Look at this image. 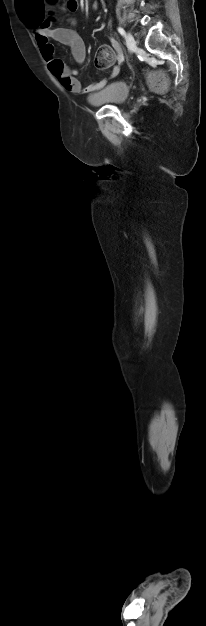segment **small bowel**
I'll return each mask as SVG.
<instances>
[{
    "instance_id": "obj_1",
    "label": "small bowel",
    "mask_w": 206,
    "mask_h": 626,
    "mask_svg": "<svg viewBox=\"0 0 206 626\" xmlns=\"http://www.w3.org/2000/svg\"><path fill=\"white\" fill-rule=\"evenodd\" d=\"M78 0H67L66 9L70 12H75L78 9ZM96 7V5L94 6ZM28 20L32 24H26L32 28L35 41L39 47L42 57L47 62L48 68L53 76L58 79L61 85L69 92L75 94L91 93L100 90L107 82V78L101 79L85 88L81 86L80 81L77 79V71L72 70L61 59L55 56V50L50 40H55L61 44L70 47L71 54L74 60L78 64H83L86 58V47L83 39L72 27H55V19L53 16H44L43 12L36 9ZM69 23L75 25V20L70 19ZM111 47L115 51L116 59L119 62L123 61V54L117 41H111ZM119 72L118 67H115L111 76L117 75Z\"/></svg>"
}]
</instances>
